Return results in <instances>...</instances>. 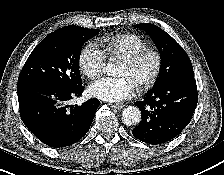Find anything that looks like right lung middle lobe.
<instances>
[{
  "label": "right lung middle lobe",
  "instance_id": "obj_1",
  "mask_svg": "<svg viewBox=\"0 0 224 175\" xmlns=\"http://www.w3.org/2000/svg\"><path fill=\"white\" fill-rule=\"evenodd\" d=\"M98 32V29L66 26L50 33L29 55L18 82L43 81L63 87L81 85V48Z\"/></svg>",
  "mask_w": 224,
  "mask_h": 175
}]
</instances>
